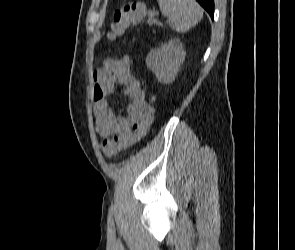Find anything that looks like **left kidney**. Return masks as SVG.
I'll use <instances>...</instances> for the list:
<instances>
[{
  "mask_svg": "<svg viewBox=\"0 0 295 250\" xmlns=\"http://www.w3.org/2000/svg\"><path fill=\"white\" fill-rule=\"evenodd\" d=\"M186 52L177 39H172L159 49L151 51L146 58L147 68L156 76L158 82L170 84L175 80Z\"/></svg>",
  "mask_w": 295,
  "mask_h": 250,
  "instance_id": "left-kidney-1",
  "label": "left kidney"
}]
</instances>
